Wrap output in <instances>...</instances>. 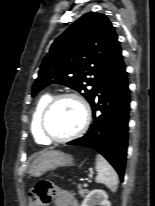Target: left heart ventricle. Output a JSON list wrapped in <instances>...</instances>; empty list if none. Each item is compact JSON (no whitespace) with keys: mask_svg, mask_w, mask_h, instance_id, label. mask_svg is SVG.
<instances>
[{"mask_svg":"<svg viewBox=\"0 0 155 206\" xmlns=\"http://www.w3.org/2000/svg\"><path fill=\"white\" fill-rule=\"evenodd\" d=\"M82 118L78 102L74 99H63L50 110L46 118V129L53 137H65L79 129Z\"/></svg>","mask_w":155,"mask_h":206,"instance_id":"b2bd125f","label":"left heart ventricle"}]
</instances>
